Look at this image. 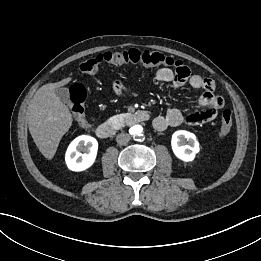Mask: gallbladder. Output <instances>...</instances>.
Here are the masks:
<instances>
[{
    "instance_id": "1",
    "label": "gallbladder",
    "mask_w": 261,
    "mask_h": 261,
    "mask_svg": "<svg viewBox=\"0 0 261 261\" xmlns=\"http://www.w3.org/2000/svg\"><path fill=\"white\" fill-rule=\"evenodd\" d=\"M55 93L63 103H69L70 96L67 88H58Z\"/></svg>"
}]
</instances>
